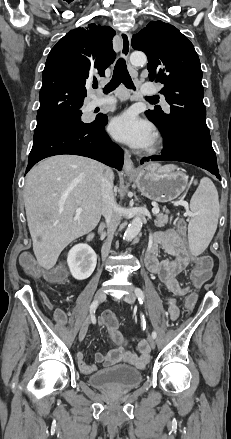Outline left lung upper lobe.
I'll return each instance as SVG.
<instances>
[{"mask_svg": "<svg viewBox=\"0 0 231 439\" xmlns=\"http://www.w3.org/2000/svg\"><path fill=\"white\" fill-rule=\"evenodd\" d=\"M132 47L147 55L149 79L164 85L160 93L170 104V114L161 109L147 110L149 120L161 133L175 126L209 133L202 71L193 44L173 25L152 21L132 37Z\"/></svg>", "mask_w": 231, "mask_h": 439, "instance_id": "5c2ea615", "label": "left lung upper lobe"}]
</instances>
